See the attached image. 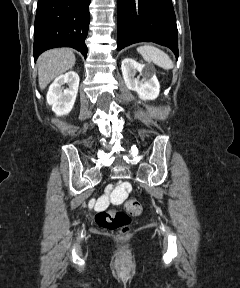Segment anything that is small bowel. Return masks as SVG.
Instances as JSON below:
<instances>
[{
    "label": "small bowel",
    "instance_id": "small-bowel-1",
    "mask_svg": "<svg viewBox=\"0 0 240 288\" xmlns=\"http://www.w3.org/2000/svg\"><path fill=\"white\" fill-rule=\"evenodd\" d=\"M124 189H125L124 186L118 187V188L116 189V191H115L116 196H117V197H123L124 194H125Z\"/></svg>",
    "mask_w": 240,
    "mask_h": 288
}]
</instances>
